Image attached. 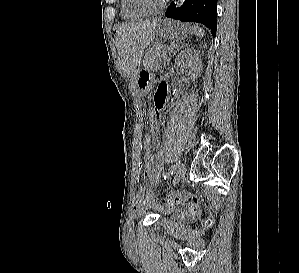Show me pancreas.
Segmentation results:
<instances>
[{"instance_id": "1", "label": "pancreas", "mask_w": 299, "mask_h": 273, "mask_svg": "<svg viewBox=\"0 0 299 273\" xmlns=\"http://www.w3.org/2000/svg\"><path fill=\"white\" fill-rule=\"evenodd\" d=\"M171 48L172 46H156L150 49L144 58L143 63L145 69H147L148 71H154L157 70L163 62H168L167 53L170 51Z\"/></svg>"}]
</instances>
